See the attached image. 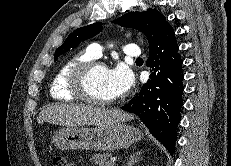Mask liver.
Wrapping results in <instances>:
<instances>
[{
  "label": "liver",
  "instance_id": "1",
  "mask_svg": "<svg viewBox=\"0 0 231 166\" xmlns=\"http://www.w3.org/2000/svg\"><path fill=\"white\" fill-rule=\"evenodd\" d=\"M133 119L131 114L118 109H101L85 104H51L42 109L37 122H51L66 127L95 125L108 127Z\"/></svg>",
  "mask_w": 231,
  "mask_h": 166
}]
</instances>
